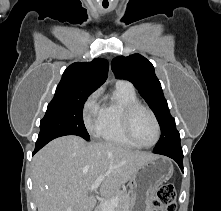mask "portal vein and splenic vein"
<instances>
[{
	"label": "portal vein and splenic vein",
	"instance_id": "18ae733b",
	"mask_svg": "<svg viewBox=\"0 0 221 211\" xmlns=\"http://www.w3.org/2000/svg\"><path fill=\"white\" fill-rule=\"evenodd\" d=\"M104 178H105L104 176L98 177L94 182V184L88 190L89 191L96 190L99 187V185L102 183ZM117 202L118 198L114 197L112 200H106L102 202L100 206L102 207L103 211H114V207L117 205Z\"/></svg>",
	"mask_w": 221,
	"mask_h": 211
}]
</instances>
